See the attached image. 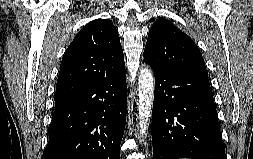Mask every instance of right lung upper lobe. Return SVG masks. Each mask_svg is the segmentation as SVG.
<instances>
[{
	"instance_id": "right-lung-upper-lobe-1",
	"label": "right lung upper lobe",
	"mask_w": 253,
	"mask_h": 159,
	"mask_svg": "<svg viewBox=\"0 0 253 159\" xmlns=\"http://www.w3.org/2000/svg\"><path fill=\"white\" fill-rule=\"evenodd\" d=\"M122 70H125L123 51L112 21H91L76 35L62 59L55 106Z\"/></svg>"
}]
</instances>
